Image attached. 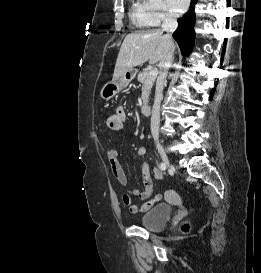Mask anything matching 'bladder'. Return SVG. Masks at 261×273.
Instances as JSON below:
<instances>
[{
  "label": "bladder",
  "mask_w": 261,
  "mask_h": 273,
  "mask_svg": "<svg viewBox=\"0 0 261 273\" xmlns=\"http://www.w3.org/2000/svg\"><path fill=\"white\" fill-rule=\"evenodd\" d=\"M172 215V205L168 203L154 204L140 219L144 228L159 231L166 227Z\"/></svg>",
  "instance_id": "obj_1"
}]
</instances>
